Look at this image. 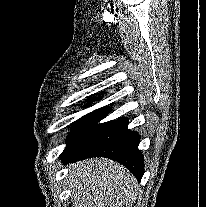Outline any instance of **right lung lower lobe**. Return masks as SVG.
Returning a JSON list of instances; mask_svg holds the SVG:
<instances>
[{"mask_svg":"<svg viewBox=\"0 0 206 207\" xmlns=\"http://www.w3.org/2000/svg\"><path fill=\"white\" fill-rule=\"evenodd\" d=\"M127 118L113 121L108 127L76 150H64V164L89 157H106L127 167L138 181L144 174L143 155L138 149L140 136L127 129Z\"/></svg>","mask_w":206,"mask_h":207,"instance_id":"1","label":"right lung lower lobe"}]
</instances>
